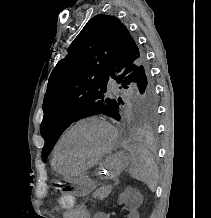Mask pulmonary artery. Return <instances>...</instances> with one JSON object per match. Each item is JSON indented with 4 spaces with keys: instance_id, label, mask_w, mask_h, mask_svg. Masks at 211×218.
Listing matches in <instances>:
<instances>
[{
    "instance_id": "e3ab8cb5",
    "label": "pulmonary artery",
    "mask_w": 211,
    "mask_h": 218,
    "mask_svg": "<svg viewBox=\"0 0 211 218\" xmlns=\"http://www.w3.org/2000/svg\"><path fill=\"white\" fill-rule=\"evenodd\" d=\"M108 84L105 85V88L108 89L109 95H120L121 86L115 84V80H108Z\"/></svg>"
}]
</instances>
